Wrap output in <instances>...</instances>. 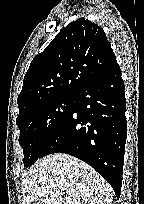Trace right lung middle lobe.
Here are the masks:
<instances>
[{
  "instance_id": "1",
  "label": "right lung middle lobe",
  "mask_w": 144,
  "mask_h": 204,
  "mask_svg": "<svg viewBox=\"0 0 144 204\" xmlns=\"http://www.w3.org/2000/svg\"><path fill=\"white\" fill-rule=\"evenodd\" d=\"M75 96L63 95L44 101L18 115L19 144L24 151V166L42 157L45 146L69 116Z\"/></svg>"
}]
</instances>
